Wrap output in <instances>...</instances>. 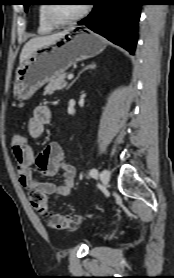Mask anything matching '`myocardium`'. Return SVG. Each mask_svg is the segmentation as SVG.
<instances>
[{"label":"myocardium","instance_id":"f54148a6","mask_svg":"<svg viewBox=\"0 0 174 278\" xmlns=\"http://www.w3.org/2000/svg\"><path fill=\"white\" fill-rule=\"evenodd\" d=\"M89 8H90L89 5H84L82 10L74 17H71L69 19H58L53 12L54 5L48 4L45 6V17L52 26L62 27V26L73 24L79 21L80 19L84 18L89 12Z\"/></svg>","mask_w":174,"mask_h":278}]
</instances>
